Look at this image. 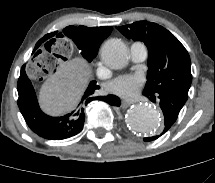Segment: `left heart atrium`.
Segmentation results:
<instances>
[{"label": "left heart atrium", "instance_id": "39dd6f15", "mask_svg": "<svg viewBox=\"0 0 215 183\" xmlns=\"http://www.w3.org/2000/svg\"><path fill=\"white\" fill-rule=\"evenodd\" d=\"M142 83L141 75H127L112 81L109 84V90L118 96L133 99L138 95Z\"/></svg>", "mask_w": 215, "mask_h": 183}]
</instances>
